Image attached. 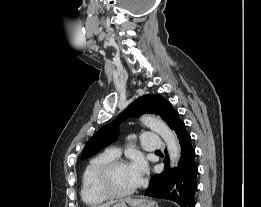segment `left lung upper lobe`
<instances>
[{
    "mask_svg": "<svg viewBox=\"0 0 261 207\" xmlns=\"http://www.w3.org/2000/svg\"><path fill=\"white\" fill-rule=\"evenodd\" d=\"M151 113L164 119L172 130L180 121L179 114L172 108L169 101L160 95H143L136 99L112 123L102 127L88 141L81 155V159L89 158L102 148L114 142L118 136V127L122 120L128 117H138L141 114Z\"/></svg>",
    "mask_w": 261,
    "mask_h": 207,
    "instance_id": "left-lung-upper-lobe-1",
    "label": "left lung upper lobe"
}]
</instances>
